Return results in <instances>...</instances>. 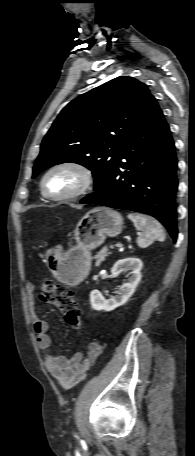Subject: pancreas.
<instances>
[{"label": "pancreas", "mask_w": 195, "mask_h": 456, "mask_svg": "<svg viewBox=\"0 0 195 456\" xmlns=\"http://www.w3.org/2000/svg\"><path fill=\"white\" fill-rule=\"evenodd\" d=\"M110 254L109 250L107 247H103L97 255H95L94 259L96 260L95 266H99L106 257Z\"/></svg>", "instance_id": "pancreas-1"}]
</instances>
